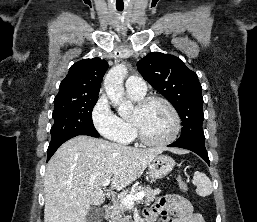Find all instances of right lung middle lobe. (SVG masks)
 <instances>
[{
	"label": "right lung middle lobe",
	"instance_id": "dd1d6c3e",
	"mask_svg": "<svg viewBox=\"0 0 257 222\" xmlns=\"http://www.w3.org/2000/svg\"><path fill=\"white\" fill-rule=\"evenodd\" d=\"M97 100L98 95L54 102L50 144L77 135L99 137L92 121Z\"/></svg>",
	"mask_w": 257,
	"mask_h": 222
}]
</instances>
